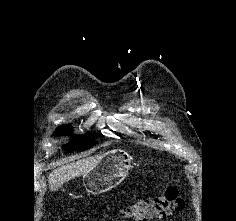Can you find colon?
<instances>
[{"label": "colon", "mask_w": 236, "mask_h": 221, "mask_svg": "<svg viewBox=\"0 0 236 221\" xmlns=\"http://www.w3.org/2000/svg\"><path fill=\"white\" fill-rule=\"evenodd\" d=\"M184 206V200L179 190L172 187L164 195L140 199L128 206L124 215L131 221H149L153 218H162L170 215L173 211L180 210ZM55 221H69L59 219Z\"/></svg>", "instance_id": "obj_1"}]
</instances>
